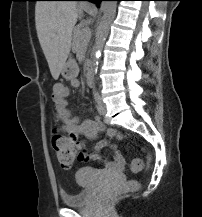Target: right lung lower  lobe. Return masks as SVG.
Instances as JSON below:
<instances>
[{
  "instance_id": "98d812e1",
  "label": "right lung lower lobe",
  "mask_w": 202,
  "mask_h": 217,
  "mask_svg": "<svg viewBox=\"0 0 202 217\" xmlns=\"http://www.w3.org/2000/svg\"><path fill=\"white\" fill-rule=\"evenodd\" d=\"M69 1H91L93 3H100L102 0H69Z\"/></svg>"
}]
</instances>
